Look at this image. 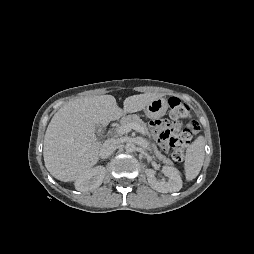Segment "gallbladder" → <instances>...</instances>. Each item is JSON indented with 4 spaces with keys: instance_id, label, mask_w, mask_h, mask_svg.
<instances>
[{
    "instance_id": "obj_1",
    "label": "gallbladder",
    "mask_w": 254,
    "mask_h": 254,
    "mask_svg": "<svg viewBox=\"0 0 254 254\" xmlns=\"http://www.w3.org/2000/svg\"><path fill=\"white\" fill-rule=\"evenodd\" d=\"M100 127H101V126H97V127H96V130L98 131V130L100 129Z\"/></svg>"
}]
</instances>
